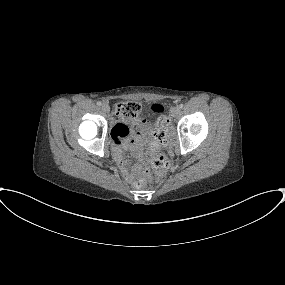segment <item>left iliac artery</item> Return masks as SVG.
<instances>
[{"instance_id":"left-iliac-artery-1","label":"left iliac artery","mask_w":285,"mask_h":285,"mask_svg":"<svg viewBox=\"0 0 285 285\" xmlns=\"http://www.w3.org/2000/svg\"><path fill=\"white\" fill-rule=\"evenodd\" d=\"M183 107H184V105H183V104H180V105H179V108H181V109H182Z\"/></svg>"}]
</instances>
